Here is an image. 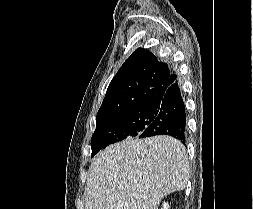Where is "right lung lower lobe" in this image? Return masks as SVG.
<instances>
[{
	"label": "right lung lower lobe",
	"instance_id": "1",
	"mask_svg": "<svg viewBox=\"0 0 253 209\" xmlns=\"http://www.w3.org/2000/svg\"><path fill=\"white\" fill-rule=\"evenodd\" d=\"M151 106L157 111L156 118L139 138L169 135L185 144L186 111L178 82L175 81L162 98Z\"/></svg>",
	"mask_w": 253,
	"mask_h": 209
}]
</instances>
